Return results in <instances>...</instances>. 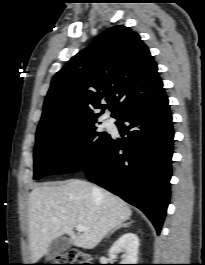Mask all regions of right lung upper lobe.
Wrapping results in <instances>:
<instances>
[{
  "label": "right lung upper lobe",
  "mask_w": 205,
  "mask_h": 265,
  "mask_svg": "<svg viewBox=\"0 0 205 265\" xmlns=\"http://www.w3.org/2000/svg\"><path fill=\"white\" fill-rule=\"evenodd\" d=\"M162 90L157 64L140 36L114 26L55 74L37 131L96 120L107 108L117 119Z\"/></svg>",
  "instance_id": "obj_1"
}]
</instances>
